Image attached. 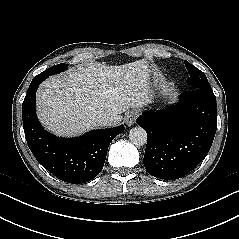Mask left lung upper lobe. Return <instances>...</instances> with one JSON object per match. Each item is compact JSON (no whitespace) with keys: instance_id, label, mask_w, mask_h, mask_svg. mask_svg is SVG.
<instances>
[{"instance_id":"left-lung-upper-lobe-1","label":"left lung upper lobe","mask_w":239,"mask_h":239,"mask_svg":"<svg viewBox=\"0 0 239 239\" xmlns=\"http://www.w3.org/2000/svg\"><path fill=\"white\" fill-rule=\"evenodd\" d=\"M187 70L189 71L190 77L187 79L188 84L191 86V89H209L212 90L206 75L191 65L188 61H184Z\"/></svg>"}]
</instances>
